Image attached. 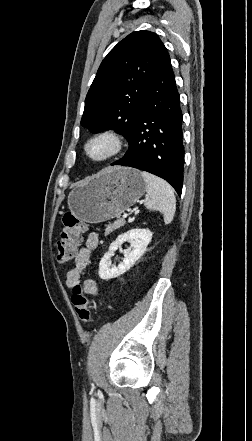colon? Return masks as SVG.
I'll use <instances>...</instances> for the list:
<instances>
[{"label":"colon","mask_w":252,"mask_h":441,"mask_svg":"<svg viewBox=\"0 0 252 441\" xmlns=\"http://www.w3.org/2000/svg\"><path fill=\"white\" fill-rule=\"evenodd\" d=\"M62 221L63 229L57 243V261L65 264L73 259L82 235L88 227L69 212L64 214ZM71 301L78 317L83 322H88L90 320L89 300L81 284L74 285Z\"/></svg>","instance_id":"5ec220e1"}]
</instances>
